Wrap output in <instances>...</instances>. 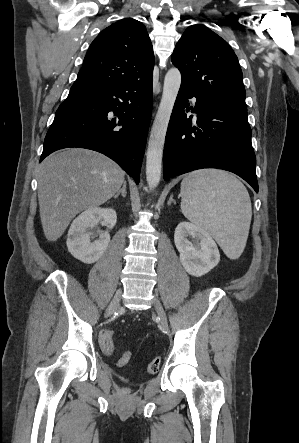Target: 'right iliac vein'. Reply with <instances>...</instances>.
Instances as JSON below:
<instances>
[{
	"mask_svg": "<svg viewBox=\"0 0 299 443\" xmlns=\"http://www.w3.org/2000/svg\"><path fill=\"white\" fill-rule=\"evenodd\" d=\"M121 293H122L121 290H118L116 292L113 300L111 301V303H110V305H109V307H108V309L106 311L105 317L110 316L111 314H113L119 308V306H120V299H121Z\"/></svg>",
	"mask_w": 299,
	"mask_h": 443,
	"instance_id": "right-iliac-vein-1",
	"label": "right iliac vein"
}]
</instances>
